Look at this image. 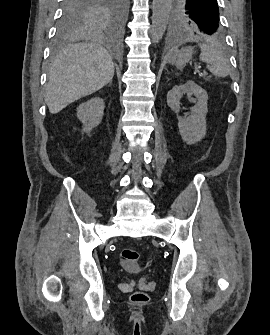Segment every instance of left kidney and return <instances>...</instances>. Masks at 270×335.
Returning <instances> with one entry per match:
<instances>
[{"mask_svg":"<svg viewBox=\"0 0 270 335\" xmlns=\"http://www.w3.org/2000/svg\"><path fill=\"white\" fill-rule=\"evenodd\" d=\"M183 94H187V96L194 94L197 98V104H195L194 108H191L190 116H188V114H185L184 118L178 116L180 136L186 144L191 146V144L201 142L202 138L206 136L208 94L201 86H197L193 80H188L183 86H174L167 94V104L176 114L180 112L179 100ZM186 116H188V118H186Z\"/></svg>","mask_w":270,"mask_h":335,"instance_id":"left-kidney-1","label":"left kidney"}]
</instances>
